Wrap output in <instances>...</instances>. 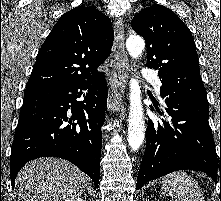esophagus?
I'll return each instance as SVG.
<instances>
[{
  "instance_id": "obj_1",
  "label": "esophagus",
  "mask_w": 221,
  "mask_h": 201,
  "mask_svg": "<svg viewBox=\"0 0 221 201\" xmlns=\"http://www.w3.org/2000/svg\"><path fill=\"white\" fill-rule=\"evenodd\" d=\"M114 51L115 62L112 69L113 90L111 99L108 102L110 111H119L123 106L124 89L127 83L128 55L124 44V27L118 23L114 27Z\"/></svg>"
}]
</instances>
